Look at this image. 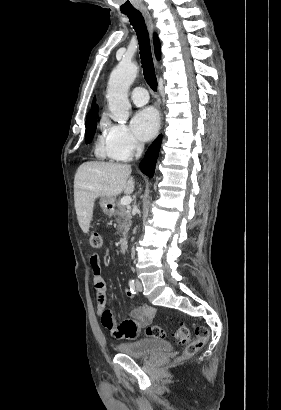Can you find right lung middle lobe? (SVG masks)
<instances>
[{
    "mask_svg": "<svg viewBox=\"0 0 281 410\" xmlns=\"http://www.w3.org/2000/svg\"><path fill=\"white\" fill-rule=\"evenodd\" d=\"M96 117L97 116H93L91 118L86 119V137H85L86 143H90L93 139L94 134H95V131H96Z\"/></svg>",
    "mask_w": 281,
    "mask_h": 410,
    "instance_id": "dd1d6c3e",
    "label": "right lung middle lobe"
}]
</instances>
